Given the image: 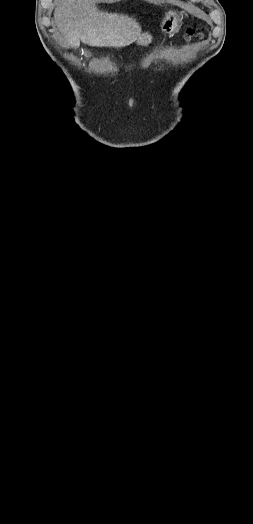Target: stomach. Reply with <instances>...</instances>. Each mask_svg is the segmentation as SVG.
I'll list each match as a JSON object with an SVG mask.
<instances>
[{
	"instance_id": "1",
	"label": "stomach",
	"mask_w": 253,
	"mask_h": 524,
	"mask_svg": "<svg viewBox=\"0 0 253 524\" xmlns=\"http://www.w3.org/2000/svg\"><path fill=\"white\" fill-rule=\"evenodd\" d=\"M181 23V15H179L175 11H169L168 13H166L165 18L162 21L161 29L163 32L172 35L180 29ZM151 39V35H149L148 33H144L138 37V45L147 46L151 42Z\"/></svg>"
}]
</instances>
